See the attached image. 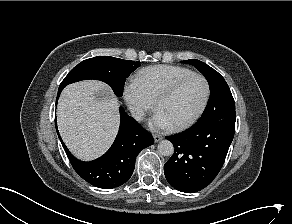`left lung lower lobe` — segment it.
Segmentation results:
<instances>
[{
  "label": "left lung lower lobe",
  "instance_id": "0a47b994",
  "mask_svg": "<svg viewBox=\"0 0 292 224\" xmlns=\"http://www.w3.org/2000/svg\"><path fill=\"white\" fill-rule=\"evenodd\" d=\"M235 120V113H228L167 136L175 147V153L164 165L168 183L186 193L205 188L224 164L234 137Z\"/></svg>",
  "mask_w": 292,
  "mask_h": 224
}]
</instances>
